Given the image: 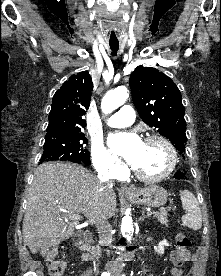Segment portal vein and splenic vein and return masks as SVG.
Returning a JSON list of instances; mask_svg holds the SVG:
<instances>
[{"label":"portal vein and splenic vein","instance_id":"1","mask_svg":"<svg viewBox=\"0 0 221 276\" xmlns=\"http://www.w3.org/2000/svg\"><path fill=\"white\" fill-rule=\"evenodd\" d=\"M147 214L148 215H152L153 213L152 212H148ZM73 219L80 220V219H82V216L81 215H75V216H73Z\"/></svg>","mask_w":221,"mask_h":276}]
</instances>
